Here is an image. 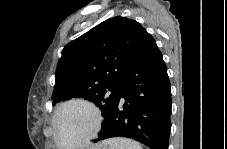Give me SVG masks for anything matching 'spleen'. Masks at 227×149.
<instances>
[{
  "label": "spleen",
  "instance_id": "3e777b00",
  "mask_svg": "<svg viewBox=\"0 0 227 149\" xmlns=\"http://www.w3.org/2000/svg\"><path fill=\"white\" fill-rule=\"evenodd\" d=\"M105 144L109 145L110 149H142L138 142L122 137L108 139Z\"/></svg>",
  "mask_w": 227,
  "mask_h": 149
}]
</instances>
